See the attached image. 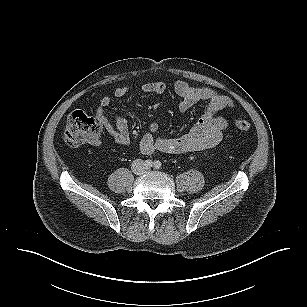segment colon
Returning a JSON list of instances; mask_svg holds the SVG:
<instances>
[{"label":"colon","mask_w":307,"mask_h":307,"mask_svg":"<svg viewBox=\"0 0 307 307\" xmlns=\"http://www.w3.org/2000/svg\"><path fill=\"white\" fill-rule=\"evenodd\" d=\"M234 125L241 131L251 128L249 121L241 118L234 120ZM101 134L99 120L82 111L72 112L66 122L64 140L68 146L77 147L85 143H94Z\"/></svg>","instance_id":"5ec220e1"}]
</instances>
